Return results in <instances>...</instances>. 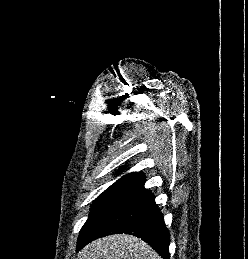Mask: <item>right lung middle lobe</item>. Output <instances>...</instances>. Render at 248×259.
Listing matches in <instances>:
<instances>
[{"label":"right lung middle lobe","mask_w":248,"mask_h":259,"mask_svg":"<svg viewBox=\"0 0 248 259\" xmlns=\"http://www.w3.org/2000/svg\"><path fill=\"white\" fill-rule=\"evenodd\" d=\"M132 187L127 184L115 183L100 194L91 208L88 220L80 230L78 241L88 235L109 209Z\"/></svg>","instance_id":"obj_1"}]
</instances>
